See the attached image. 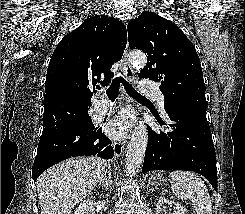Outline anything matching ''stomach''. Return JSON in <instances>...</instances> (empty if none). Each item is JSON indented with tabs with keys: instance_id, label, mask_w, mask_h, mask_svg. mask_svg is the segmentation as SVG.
<instances>
[{
	"instance_id": "obj_1",
	"label": "stomach",
	"mask_w": 245,
	"mask_h": 214,
	"mask_svg": "<svg viewBox=\"0 0 245 214\" xmlns=\"http://www.w3.org/2000/svg\"><path fill=\"white\" fill-rule=\"evenodd\" d=\"M151 180L153 181V183L155 185H160V184H165L166 183V179H164L161 175L158 176H152Z\"/></svg>"
}]
</instances>
